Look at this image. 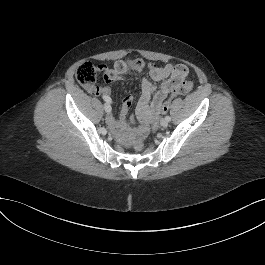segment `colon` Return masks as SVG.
<instances>
[{
    "label": "colon",
    "instance_id": "5ec220e1",
    "mask_svg": "<svg viewBox=\"0 0 265 265\" xmlns=\"http://www.w3.org/2000/svg\"><path fill=\"white\" fill-rule=\"evenodd\" d=\"M129 65L131 69L134 71H141L146 67L145 62L139 59L132 60ZM98 71H99V66H96L91 62H84L80 64L76 70V79L83 87L90 89L94 87ZM192 88H193V81L183 80L182 82H180L173 89L168 99L163 102L160 108V112L165 113L169 109L170 103L173 98L188 93ZM144 148H145V142L142 138L135 140L134 149L137 152L143 151Z\"/></svg>",
    "mask_w": 265,
    "mask_h": 265
}]
</instances>
